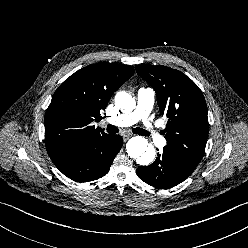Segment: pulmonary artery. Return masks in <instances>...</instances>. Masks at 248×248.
I'll return each mask as SVG.
<instances>
[{"label": "pulmonary artery", "mask_w": 248, "mask_h": 248, "mask_svg": "<svg viewBox=\"0 0 248 248\" xmlns=\"http://www.w3.org/2000/svg\"><path fill=\"white\" fill-rule=\"evenodd\" d=\"M155 100V91L148 88H140L137 93V107L129 113L119 114L107 119L109 124L127 127L140 121L143 129L148 133L152 140L159 144H165L164 138L158 133L154 124L149 120V114L152 110Z\"/></svg>", "instance_id": "pulmonary-artery-1"}]
</instances>
